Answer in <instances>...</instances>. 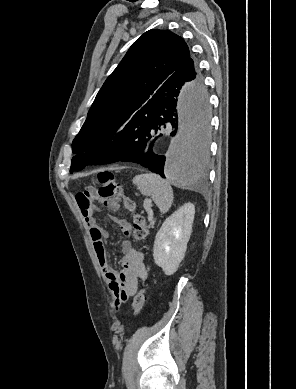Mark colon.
Masks as SVG:
<instances>
[{
    "mask_svg": "<svg viewBox=\"0 0 296 389\" xmlns=\"http://www.w3.org/2000/svg\"><path fill=\"white\" fill-rule=\"evenodd\" d=\"M98 197L108 206H118L122 202L124 208L132 214L133 236L135 240L141 242L148 235V226L143 215L136 211V205L132 198L125 195L122 185L110 171H102L98 174ZM91 189V188H89ZM88 189V190H89ZM86 190V191H88ZM145 288L140 289L133 300L134 315L138 316L146 303Z\"/></svg>",
    "mask_w": 296,
    "mask_h": 389,
    "instance_id": "1",
    "label": "colon"
}]
</instances>
